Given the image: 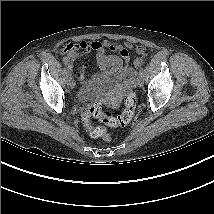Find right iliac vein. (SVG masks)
I'll return each mask as SVG.
<instances>
[{"instance_id":"right-iliac-vein-1","label":"right iliac vein","mask_w":214,"mask_h":214,"mask_svg":"<svg viewBox=\"0 0 214 214\" xmlns=\"http://www.w3.org/2000/svg\"><path fill=\"white\" fill-rule=\"evenodd\" d=\"M74 84H75V83H74V81H73V80H71V81H70V86H71V87H73V86H74Z\"/></svg>"}]
</instances>
